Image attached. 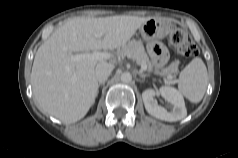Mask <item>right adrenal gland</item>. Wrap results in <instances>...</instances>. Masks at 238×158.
<instances>
[{
  "label": "right adrenal gland",
  "instance_id": "right-adrenal-gland-1",
  "mask_svg": "<svg viewBox=\"0 0 238 158\" xmlns=\"http://www.w3.org/2000/svg\"><path fill=\"white\" fill-rule=\"evenodd\" d=\"M101 85H104V83L99 82V83H98V88H99Z\"/></svg>",
  "mask_w": 238,
  "mask_h": 158
}]
</instances>
